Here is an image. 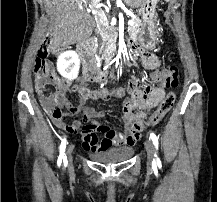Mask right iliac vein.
<instances>
[{
    "label": "right iliac vein",
    "instance_id": "1",
    "mask_svg": "<svg viewBox=\"0 0 217 202\" xmlns=\"http://www.w3.org/2000/svg\"><path fill=\"white\" fill-rule=\"evenodd\" d=\"M72 151H73V147L70 145L67 148V152H66L67 164L70 168L72 167V160H73Z\"/></svg>",
    "mask_w": 217,
    "mask_h": 202
}]
</instances>
